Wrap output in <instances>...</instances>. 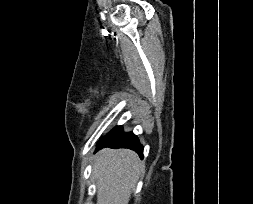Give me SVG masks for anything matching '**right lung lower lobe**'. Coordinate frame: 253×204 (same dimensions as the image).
<instances>
[{
  "label": "right lung lower lobe",
  "mask_w": 253,
  "mask_h": 204,
  "mask_svg": "<svg viewBox=\"0 0 253 204\" xmlns=\"http://www.w3.org/2000/svg\"><path fill=\"white\" fill-rule=\"evenodd\" d=\"M129 148L143 158V146L132 132L124 133L122 126L113 128L97 145V150L104 148Z\"/></svg>",
  "instance_id": "98d812e1"
}]
</instances>
